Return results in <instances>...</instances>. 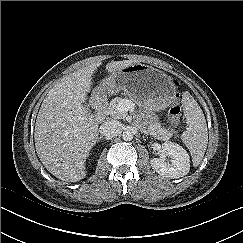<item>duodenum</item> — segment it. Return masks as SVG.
<instances>
[{
  "instance_id": "obj_1",
  "label": "duodenum",
  "mask_w": 243,
  "mask_h": 243,
  "mask_svg": "<svg viewBox=\"0 0 243 243\" xmlns=\"http://www.w3.org/2000/svg\"><path fill=\"white\" fill-rule=\"evenodd\" d=\"M93 105L96 111V119L103 121L105 119V112L108 105V98L104 95H97L93 99Z\"/></svg>"
}]
</instances>
